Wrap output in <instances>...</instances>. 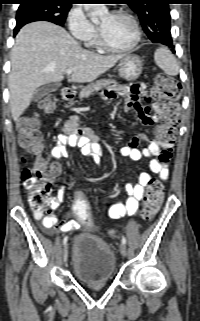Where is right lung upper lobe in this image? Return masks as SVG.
Instances as JSON below:
<instances>
[{"mask_svg": "<svg viewBox=\"0 0 200 321\" xmlns=\"http://www.w3.org/2000/svg\"><path fill=\"white\" fill-rule=\"evenodd\" d=\"M19 1H25V0H19ZM60 1H63V2H68V3H73V1H75V0H60Z\"/></svg>", "mask_w": 200, "mask_h": 321, "instance_id": "obj_1", "label": "right lung upper lobe"}]
</instances>
